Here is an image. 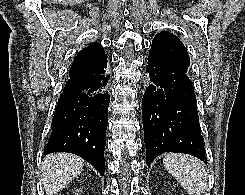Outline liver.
Segmentation results:
<instances>
[{
  "instance_id": "obj_1",
  "label": "liver",
  "mask_w": 245,
  "mask_h": 195,
  "mask_svg": "<svg viewBox=\"0 0 245 195\" xmlns=\"http://www.w3.org/2000/svg\"><path fill=\"white\" fill-rule=\"evenodd\" d=\"M83 170V160L70 153H53L42 162V181L47 195L64 189Z\"/></svg>"
}]
</instances>
